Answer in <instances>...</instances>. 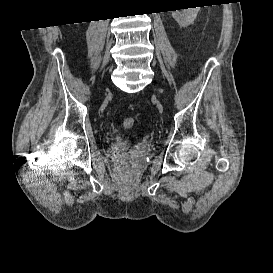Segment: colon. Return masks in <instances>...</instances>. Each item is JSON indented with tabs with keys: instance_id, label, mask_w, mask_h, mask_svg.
Wrapping results in <instances>:
<instances>
[{
	"instance_id": "1",
	"label": "colon",
	"mask_w": 273,
	"mask_h": 273,
	"mask_svg": "<svg viewBox=\"0 0 273 273\" xmlns=\"http://www.w3.org/2000/svg\"><path fill=\"white\" fill-rule=\"evenodd\" d=\"M134 125H135V119L133 117H126L123 120V127L125 129H131L134 127Z\"/></svg>"
}]
</instances>
